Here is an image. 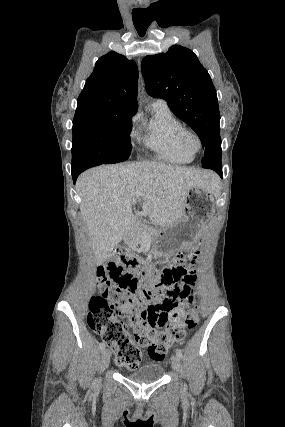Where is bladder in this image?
<instances>
[{"instance_id": "obj_1", "label": "bladder", "mask_w": 285, "mask_h": 427, "mask_svg": "<svg viewBox=\"0 0 285 427\" xmlns=\"http://www.w3.org/2000/svg\"><path fill=\"white\" fill-rule=\"evenodd\" d=\"M164 367L159 363H150L141 366L136 371L126 375V378L138 384L154 383L161 379Z\"/></svg>"}]
</instances>
